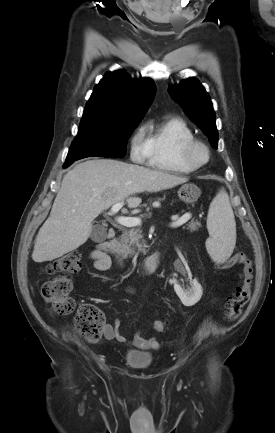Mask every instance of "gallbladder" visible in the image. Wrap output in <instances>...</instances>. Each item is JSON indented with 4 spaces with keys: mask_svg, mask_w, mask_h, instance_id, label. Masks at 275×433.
I'll list each match as a JSON object with an SVG mask.
<instances>
[{
    "mask_svg": "<svg viewBox=\"0 0 275 433\" xmlns=\"http://www.w3.org/2000/svg\"><path fill=\"white\" fill-rule=\"evenodd\" d=\"M103 233H104L103 228L101 226L96 225L92 229L91 236L96 240L98 237H102Z\"/></svg>",
    "mask_w": 275,
    "mask_h": 433,
    "instance_id": "1",
    "label": "gallbladder"
}]
</instances>
